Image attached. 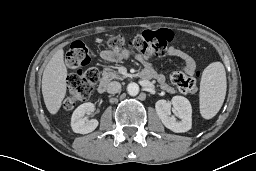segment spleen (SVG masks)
<instances>
[{
	"mask_svg": "<svg viewBox=\"0 0 256 171\" xmlns=\"http://www.w3.org/2000/svg\"><path fill=\"white\" fill-rule=\"evenodd\" d=\"M226 72L221 62L209 64L203 71L199 104L200 113L204 119L213 118L223 105L226 96Z\"/></svg>",
	"mask_w": 256,
	"mask_h": 171,
	"instance_id": "3e777b00",
	"label": "spleen"
}]
</instances>
